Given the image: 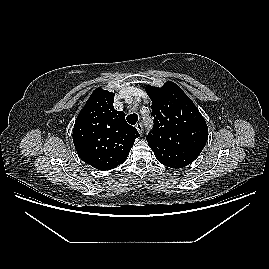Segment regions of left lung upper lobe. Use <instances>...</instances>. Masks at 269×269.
<instances>
[{
	"label": "left lung upper lobe",
	"mask_w": 269,
	"mask_h": 269,
	"mask_svg": "<svg viewBox=\"0 0 269 269\" xmlns=\"http://www.w3.org/2000/svg\"><path fill=\"white\" fill-rule=\"evenodd\" d=\"M152 100L154 129L147 136L157 160L171 168H183L201 153L208 127L198 108L173 82L161 88L146 86Z\"/></svg>",
	"instance_id": "obj_1"
}]
</instances>
